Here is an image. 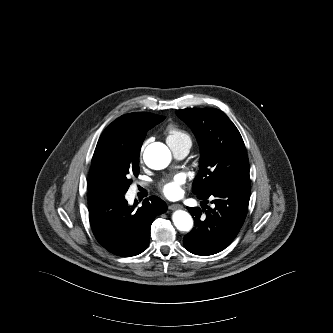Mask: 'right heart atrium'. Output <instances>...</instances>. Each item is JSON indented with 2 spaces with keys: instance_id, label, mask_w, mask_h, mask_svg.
<instances>
[{
  "instance_id": "1",
  "label": "right heart atrium",
  "mask_w": 333,
  "mask_h": 333,
  "mask_svg": "<svg viewBox=\"0 0 333 333\" xmlns=\"http://www.w3.org/2000/svg\"><path fill=\"white\" fill-rule=\"evenodd\" d=\"M145 143H146V142H145ZM145 143L143 144L142 151H143V149H144ZM142 151H141V152H142Z\"/></svg>"
}]
</instances>
